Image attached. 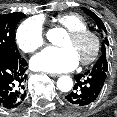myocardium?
Returning a JSON list of instances; mask_svg holds the SVG:
<instances>
[{
  "label": "myocardium",
  "instance_id": "myocardium-1",
  "mask_svg": "<svg viewBox=\"0 0 117 117\" xmlns=\"http://www.w3.org/2000/svg\"><path fill=\"white\" fill-rule=\"evenodd\" d=\"M69 37L73 41H81L84 39H91L93 41V49L90 55L87 57L81 58L79 61L82 65H89L96 61L99 57L101 48H102V40L98 33L90 29H83L78 31L69 32Z\"/></svg>",
  "mask_w": 117,
  "mask_h": 117
}]
</instances>
